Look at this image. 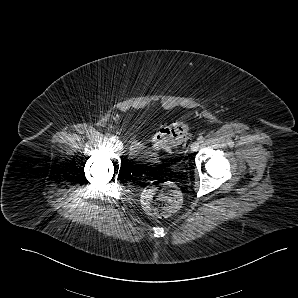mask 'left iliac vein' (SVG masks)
Segmentation results:
<instances>
[{"mask_svg": "<svg viewBox=\"0 0 298 298\" xmlns=\"http://www.w3.org/2000/svg\"><path fill=\"white\" fill-rule=\"evenodd\" d=\"M199 146H200L199 141H195V142H193V143L191 144V146H190L191 151H193V152L197 151L198 148H199Z\"/></svg>", "mask_w": 298, "mask_h": 298, "instance_id": "left-iliac-vein-1", "label": "left iliac vein"}]
</instances>
